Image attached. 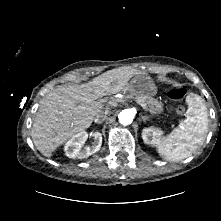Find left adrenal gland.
I'll list each match as a JSON object with an SVG mask.
<instances>
[{
  "label": "left adrenal gland",
  "instance_id": "left-adrenal-gland-1",
  "mask_svg": "<svg viewBox=\"0 0 221 221\" xmlns=\"http://www.w3.org/2000/svg\"><path fill=\"white\" fill-rule=\"evenodd\" d=\"M150 117L149 116H141V119L143 120V122H145L146 120H148Z\"/></svg>",
  "mask_w": 221,
  "mask_h": 221
}]
</instances>
